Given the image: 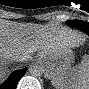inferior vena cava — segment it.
Wrapping results in <instances>:
<instances>
[{
  "label": "inferior vena cava",
  "mask_w": 89,
  "mask_h": 89,
  "mask_svg": "<svg viewBox=\"0 0 89 89\" xmlns=\"http://www.w3.org/2000/svg\"><path fill=\"white\" fill-rule=\"evenodd\" d=\"M23 58H19L18 60L20 61V60H22Z\"/></svg>",
  "instance_id": "inferior-vena-cava-1"
}]
</instances>
